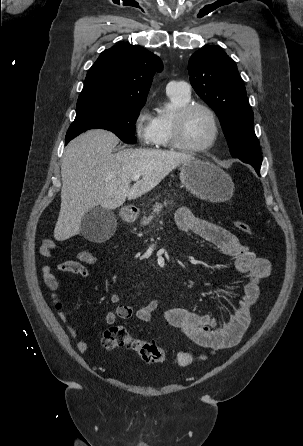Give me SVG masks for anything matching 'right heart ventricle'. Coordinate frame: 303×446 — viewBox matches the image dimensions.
<instances>
[{
    "label": "right heart ventricle",
    "instance_id": "obj_1",
    "mask_svg": "<svg viewBox=\"0 0 303 446\" xmlns=\"http://www.w3.org/2000/svg\"><path fill=\"white\" fill-rule=\"evenodd\" d=\"M168 113L159 114L154 118L155 136L153 145L157 148H169L171 143V120L174 113L191 102L190 93L167 91Z\"/></svg>",
    "mask_w": 303,
    "mask_h": 446
}]
</instances>
